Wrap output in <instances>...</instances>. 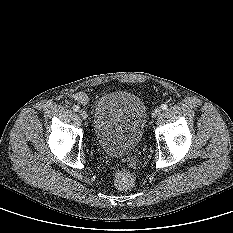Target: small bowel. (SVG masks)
Wrapping results in <instances>:
<instances>
[{
    "label": "small bowel",
    "instance_id": "small-bowel-1",
    "mask_svg": "<svg viewBox=\"0 0 233 233\" xmlns=\"http://www.w3.org/2000/svg\"><path fill=\"white\" fill-rule=\"evenodd\" d=\"M75 99L83 104L88 102V97L83 93L75 94Z\"/></svg>",
    "mask_w": 233,
    "mask_h": 233
}]
</instances>
